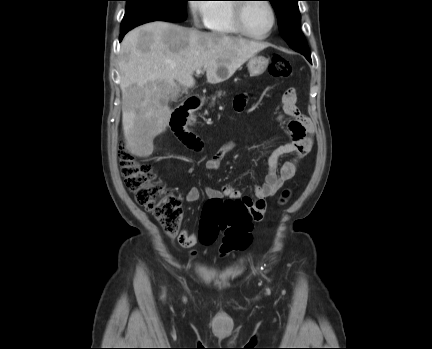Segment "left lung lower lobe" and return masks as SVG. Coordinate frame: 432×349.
Here are the masks:
<instances>
[{
    "label": "left lung lower lobe",
    "mask_w": 432,
    "mask_h": 349,
    "mask_svg": "<svg viewBox=\"0 0 432 349\" xmlns=\"http://www.w3.org/2000/svg\"><path fill=\"white\" fill-rule=\"evenodd\" d=\"M300 53L303 54L310 63H312L311 57H310V52H300Z\"/></svg>",
    "instance_id": "1"
}]
</instances>
